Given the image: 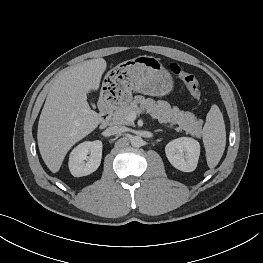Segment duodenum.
<instances>
[{
    "label": "duodenum",
    "instance_id": "duodenum-1",
    "mask_svg": "<svg viewBox=\"0 0 263 263\" xmlns=\"http://www.w3.org/2000/svg\"><path fill=\"white\" fill-rule=\"evenodd\" d=\"M99 114H100L99 126L100 128H105L109 124L111 116H112L111 105L109 103H103L100 106Z\"/></svg>",
    "mask_w": 263,
    "mask_h": 263
}]
</instances>
